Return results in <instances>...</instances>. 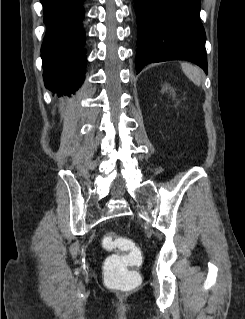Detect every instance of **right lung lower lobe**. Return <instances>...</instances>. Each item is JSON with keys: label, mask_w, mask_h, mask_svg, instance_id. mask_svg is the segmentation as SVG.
<instances>
[{"label": "right lung lower lobe", "mask_w": 245, "mask_h": 319, "mask_svg": "<svg viewBox=\"0 0 245 319\" xmlns=\"http://www.w3.org/2000/svg\"><path fill=\"white\" fill-rule=\"evenodd\" d=\"M84 0H41L47 27L41 48L46 88L73 93L82 84L86 68Z\"/></svg>", "instance_id": "1"}]
</instances>
